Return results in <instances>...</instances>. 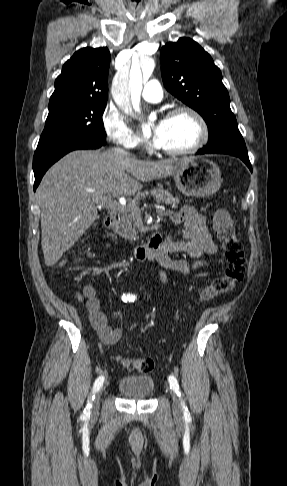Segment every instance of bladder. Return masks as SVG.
<instances>
[{
  "mask_svg": "<svg viewBox=\"0 0 287 486\" xmlns=\"http://www.w3.org/2000/svg\"><path fill=\"white\" fill-rule=\"evenodd\" d=\"M155 382L148 375H126L118 382V390L132 399H147L152 396Z\"/></svg>",
  "mask_w": 287,
  "mask_h": 486,
  "instance_id": "obj_1",
  "label": "bladder"
}]
</instances>
